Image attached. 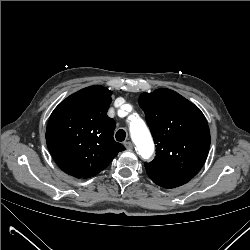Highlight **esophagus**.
I'll list each match as a JSON object with an SVG mask.
<instances>
[{
    "mask_svg": "<svg viewBox=\"0 0 250 250\" xmlns=\"http://www.w3.org/2000/svg\"><path fill=\"white\" fill-rule=\"evenodd\" d=\"M126 149H132L133 148V143L131 141H127L124 143Z\"/></svg>",
    "mask_w": 250,
    "mask_h": 250,
    "instance_id": "obj_1",
    "label": "esophagus"
}]
</instances>
